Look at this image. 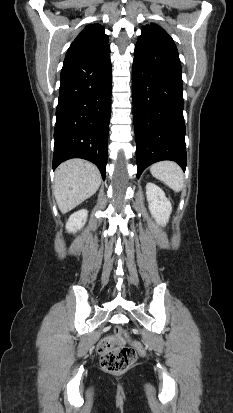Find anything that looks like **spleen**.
Here are the masks:
<instances>
[{"mask_svg": "<svg viewBox=\"0 0 233 413\" xmlns=\"http://www.w3.org/2000/svg\"><path fill=\"white\" fill-rule=\"evenodd\" d=\"M150 172L155 178L163 181L175 192H180L184 186L183 171L175 162H157L151 166Z\"/></svg>", "mask_w": 233, "mask_h": 413, "instance_id": "3e777b00", "label": "spleen"}]
</instances>
